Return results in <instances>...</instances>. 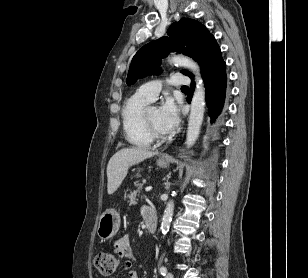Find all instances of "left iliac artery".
Here are the masks:
<instances>
[{
    "instance_id": "1",
    "label": "left iliac artery",
    "mask_w": 308,
    "mask_h": 278,
    "mask_svg": "<svg viewBox=\"0 0 308 278\" xmlns=\"http://www.w3.org/2000/svg\"><path fill=\"white\" fill-rule=\"evenodd\" d=\"M160 273L163 275V276H165L166 275V273H167V268L166 267H164V266H162L161 268H160Z\"/></svg>"
}]
</instances>
